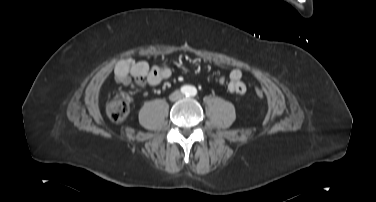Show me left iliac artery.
Listing matches in <instances>:
<instances>
[{
  "mask_svg": "<svg viewBox=\"0 0 376 202\" xmlns=\"http://www.w3.org/2000/svg\"><path fill=\"white\" fill-rule=\"evenodd\" d=\"M190 95H192V96L196 95V90L194 88L191 89Z\"/></svg>",
  "mask_w": 376,
  "mask_h": 202,
  "instance_id": "44dca946",
  "label": "left iliac artery"
}]
</instances>
